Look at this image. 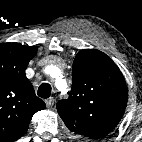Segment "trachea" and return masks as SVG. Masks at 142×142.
Returning <instances> with one entry per match:
<instances>
[{
  "instance_id": "1",
  "label": "trachea",
  "mask_w": 142,
  "mask_h": 142,
  "mask_svg": "<svg viewBox=\"0 0 142 142\" xmlns=\"http://www.w3.org/2000/svg\"><path fill=\"white\" fill-rule=\"evenodd\" d=\"M38 96L41 98H49L51 95V86L48 83H42L38 88Z\"/></svg>"
}]
</instances>
